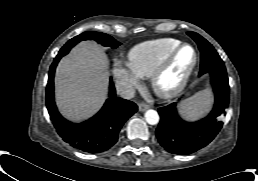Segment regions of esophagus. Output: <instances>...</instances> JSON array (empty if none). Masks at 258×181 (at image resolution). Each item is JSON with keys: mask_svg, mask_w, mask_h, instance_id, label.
I'll use <instances>...</instances> for the list:
<instances>
[{"mask_svg": "<svg viewBox=\"0 0 258 181\" xmlns=\"http://www.w3.org/2000/svg\"><path fill=\"white\" fill-rule=\"evenodd\" d=\"M149 108V105L145 104V103H141L138 106L139 111L143 112L146 111Z\"/></svg>", "mask_w": 258, "mask_h": 181, "instance_id": "1", "label": "esophagus"}]
</instances>
